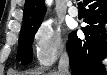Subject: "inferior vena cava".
Masks as SVG:
<instances>
[{
    "label": "inferior vena cava",
    "instance_id": "1",
    "mask_svg": "<svg viewBox=\"0 0 107 75\" xmlns=\"http://www.w3.org/2000/svg\"><path fill=\"white\" fill-rule=\"evenodd\" d=\"M58 75H70L69 72V56L66 51H64L59 60L58 64Z\"/></svg>",
    "mask_w": 107,
    "mask_h": 75
}]
</instances>
